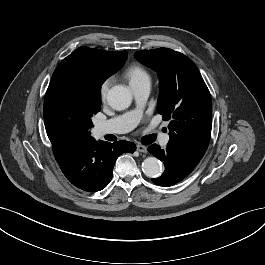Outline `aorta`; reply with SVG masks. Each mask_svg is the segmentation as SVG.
Instances as JSON below:
<instances>
[{"mask_svg": "<svg viewBox=\"0 0 265 265\" xmlns=\"http://www.w3.org/2000/svg\"><path fill=\"white\" fill-rule=\"evenodd\" d=\"M107 101L113 109L124 110L131 104V91L123 85L113 86L108 91ZM142 171L149 178H157L162 173L161 162L156 157H147L142 163Z\"/></svg>", "mask_w": 265, "mask_h": 265, "instance_id": "obj_1", "label": "aorta"}]
</instances>
